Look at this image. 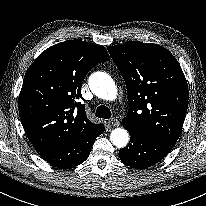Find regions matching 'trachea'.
I'll use <instances>...</instances> for the list:
<instances>
[{
    "mask_svg": "<svg viewBox=\"0 0 206 206\" xmlns=\"http://www.w3.org/2000/svg\"><path fill=\"white\" fill-rule=\"evenodd\" d=\"M96 117L110 119L111 118V111L108 107L101 105L96 110Z\"/></svg>",
    "mask_w": 206,
    "mask_h": 206,
    "instance_id": "trachea-1",
    "label": "trachea"
}]
</instances>
